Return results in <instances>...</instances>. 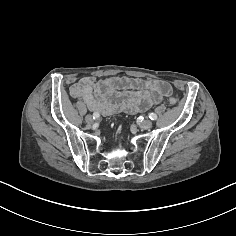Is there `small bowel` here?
Segmentation results:
<instances>
[{
  "instance_id": "1",
  "label": "small bowel",
  "mask_w": 236,
  "mask_h": 236,
  "mask_svg": "<svg viewBox=\"0 0 236 236\" xmlns=\"http://www.w3.org/2000/svg\"><path fill=\"white\" fill-rule=\"evenodd\" d=\"M171 94L172 87L166 81L125 76L101 81L86 76L70 87L72 98L83 100L91 111L104 116L145 111Z\"/></svg>"
}]
</instances>
